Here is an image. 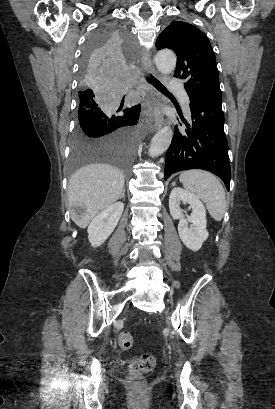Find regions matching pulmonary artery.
Listing matches in <instances>:
<instances>
[{
    "mask_svg": "<svg viewBox=\"0 0 275 409\" xmlns=\"http://www.w3.org/2000/svg\"><path fill=\"white\" fill-rule=\"evenodd\" d=\"M168 86L170 88H177L179 86V81L177 79H170L168 81ZM181 102H182V105H183V108H184L185 112L187 113V115H189L190 114V109H189L190 100H189L188 94L186 92H183L181 94Z\"/></svg>",
    "mask_w": 275,
    "mask_h": 409,
    "instance_id": "obj_1",
    "label": "pulmonary artery"
}]
</instances>
